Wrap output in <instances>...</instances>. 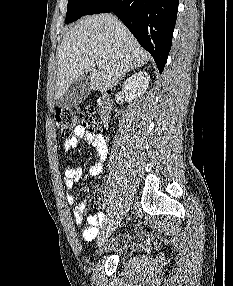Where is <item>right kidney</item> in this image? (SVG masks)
<instances>
[{
    "label": "right kidney",
    "mask_w": 233,
    "mask_h": 286,
    "mask_svg": "<svg viewBox=\"0 0 233 286\" xmlns=\"http://www.w3.org/2000/svg\"><path fill=\"white\" fill-rule=\"evenodd\" d=\"M149 81L150 75L145 71H140L129 77L122 86L125 100L131 102L143 95L149 86Z\"/></svg>",
    "instance_id": "right-kidney-1"
}]
</instances>
